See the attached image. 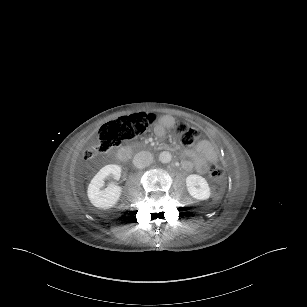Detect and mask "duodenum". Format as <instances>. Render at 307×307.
Segmentation results:
<instances>
[{
	"instance_id": "1",
	"label": "duodenum",
	"mask_w": 307,
	"mask_h": 307,
	"mask_svg": "<svg viewBox=\"0 0 307 307\" xmlns=\"http://www.w3.org/2000/svg\"><path fill=\"white\" fill-rule=\"evenodd\" d=\"M132 146V144H129L128 146L118 149L114 154L117 161L122 163L125 162L128 159Z\"/></svg>"
}]
</instances>
